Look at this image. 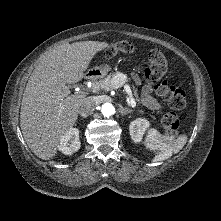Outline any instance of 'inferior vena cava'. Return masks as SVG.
Masks as SVG:
<instances>
[{
	"label": "inferior vena cava",
	"instance_id": "602c4592",
	"mask_svg": "<svg viewBox=\"0 0 221 221\" xmlns=\"http://www.w3.org/2000/svg\"><path fill=\"white\" fill-rule=\"evenodd\" d=\"M96 106V102L92 97L84 98L79 105V114L83 117L91 115Z\"/></svg>",
	"mask_w": 221,
	"mask_h": 221
}]
</instances>
